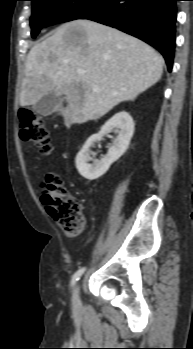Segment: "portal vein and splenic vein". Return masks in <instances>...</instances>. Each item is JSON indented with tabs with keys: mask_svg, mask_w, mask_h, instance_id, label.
Returning <instances> with one entry per match:
<instances>
[{
	"mask_svg": "<svg viewBox=\"0 0 193 349\" xmlns=\"http://www.w3.org/2000/svg\"><path fill=\"white\" fill-rule=\"evenodd\" d=\"M78 74H79V75H83V74H84V71H83V70H78ZM93 89H94V90H98V87H97V86H94Z\"/></svg>",
	"mask_w": 193,
	"mask_h": 349,
	"instance_id": "portal-vein-and-splenic-vein-1",
	"label": "portal vein and splenic vein"
}]
</instances>
